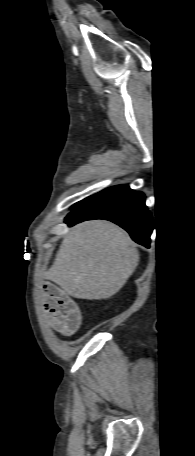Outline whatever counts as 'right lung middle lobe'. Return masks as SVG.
Returning <instances> with one entry per match:
<instances>
[{"label":"right lung middle lobe","mask_w":195,"mask_h":456,"mask_svg":"<svg viewBox=\"0 0 195 456\" xmlns=\"http://www.w3.org/2000/svg\"><path fill=\"white\" fill-rule=\"evenodd\" d=\"M91 197H92V196H91ZM91 197H88V198H86V199H84V200H82V201L76 203V204L72 207V209H74L75 207L81 205L82 203H84L85 201H87L88 199H90Z\"/></svg>","instance_id":"1"}]
</instances>
